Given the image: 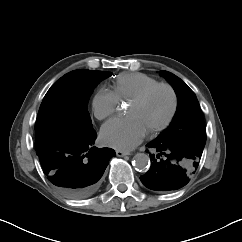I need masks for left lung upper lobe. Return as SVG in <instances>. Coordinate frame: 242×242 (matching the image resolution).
Returning a JSON list of instances; mask_svg holds the SVG:
<instances>
[{
	"instance_id": "obj_1",
	"label": "left lung upper lobe",
	"mask_w": 242,
	"mask_h": 242,
	"mask_svg": "<svg viewBox=\"0 0 242 242\" xmlns=\"http://www.w3.org/2000/svg\"><path fill=\"white\" fill-rule=\"evenodd\" d=\"M160 74L174 88L178 107L169 127L155 140L172 145L192 144L204 148L206 129L195 93L176 75L168 71H160Z\"/></svg>"
}]
</instances>
